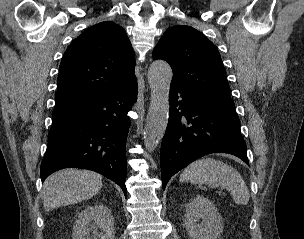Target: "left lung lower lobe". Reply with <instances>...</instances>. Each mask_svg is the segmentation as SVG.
Wrapping results in <instances>:
<instances>
[{
  "label": "left lung lower lobe",
  "instance_id": "obj_1",
  "mask_svg": "<svg viewBox=\"0 0 304 239\" xmlns=\"http://www.w3.org/2000/svg\"><path fill=\"white\" fill-rule=\"evenodd\" d=\"M169 102V122L161 145L163 190L175 173L207 154L229 153L248 164L234 108L205 101L173 86Z\"/></svg>",
  "mask_w": 304,
  "mask_h": 239
}]
</instances>
